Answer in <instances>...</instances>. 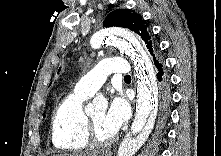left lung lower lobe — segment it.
Returning a JSON list of instances; mask_svg holds the SVG:
<instances>
[{"label":"left lung lower lobe","mask_w":221,"mask_h":156,"mask_svg":"<svg viewBox=\"0 0 221 156\" xmlns=\"http://www.w3.org/2000/svg\"><path fill=\"white\" fill-rule=\"evenodd\" d=\"M155 68L157 78V131L158 136H160L164 132L165 124L170 112V79L164 66L163 59L155 63Z\"/></svg>","instance_id":"obj_1"}]
</instances>
